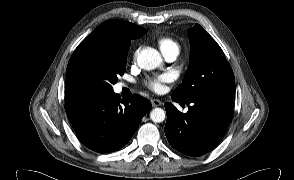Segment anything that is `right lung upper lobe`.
Here are the masks:
<instances>
[{"mask_svg":"<svg viewBox=\"0 0 294 180\" xmlns=\"http://www.w3.org/2000/svg\"><path fill=\"white\" fill-rule=\"evenodd\" d=\"M145 28L121 19L107 20L87 36L78 47L93 43H119L130 47L132 39L143 36Z\"/></svg>","mask_w":294,"mask_h":180,"instance_id":"obj_1","label":"right lung upper lobe"}]
</instances>
